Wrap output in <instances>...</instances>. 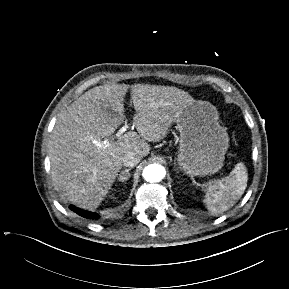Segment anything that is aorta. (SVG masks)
<instances>
[{"instance_id":"762f6f07","label":"aorta","mask_w":289,"mask_h":289,"mask_svg":"<svg viewBox=\"0 0 289 289\" xmlns=\"http://www.w3.org/2000/svg\"><path fill=\"white\" fill-rule=\"evenodd\" d=\"M165 168L159 164H150L143 169V178L150 183L160 182L165 177Z\"/></svg>"}]
</instances>
